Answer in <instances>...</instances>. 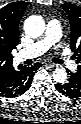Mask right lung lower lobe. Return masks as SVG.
Listing matches in <instances>:
<instances>
[{
  "label": "right lung lower lobe",
  "mask_w": 81,
  "mask_h": 124,
  "mask_svg": "<svg viewBox=\"0 0 81 124\" xmlns=\"http://www.w3.org/2000/svg\"><path fill=\"white\" fill-rule=\"evenodd\" d=\"M41 66L36 63L33 66L19 65L6 74L0 76V96L13 98L24 94L31 86L36 70Z\"/></svg>",
  "instance_id": "98d812e1"
}]
</instances>
